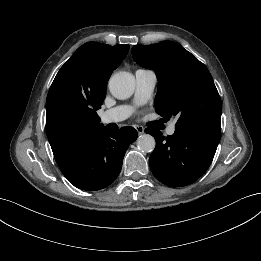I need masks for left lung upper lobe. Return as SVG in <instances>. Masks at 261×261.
<instances>
[{
    "label": "left lung upper lobe",
    "instance_id": "1",
    "mask_svg": "<svg viewBox=\"0 0 261 261\" xmlns=\"http://www.w3.org/2000/svg\"><path fill=\"white\" fill-rule=\"evenodd\" d=\"M134 60L158 78L155 110L177 119L175 129L221 133V100L206 66L180 44L163 41L132 48Z\"/></svg>",
    "mask_w": 261,
    "mask_h": 261
}]
</instances>
